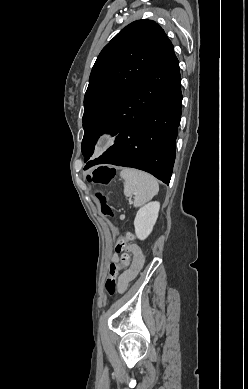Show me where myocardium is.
Listing matches in <instances>:
<instances>
[{"mask_svg": "<svg viewBox=\"0 0 248 389\" xmlns=\"http://www.w3.org/2000/svg\"><path fill=\"white\" fill-rule=\"evenodd\" d=\"M109 138H110V134H109L108 132H105V133H103V134L100 136V141H101V142H104V141H107Z\"/></svg>", "mask_w": 248, "mask_h": 389, "instance_id": "1", "label": "myocardium"}]
</instances>
